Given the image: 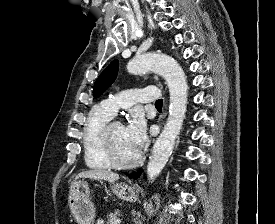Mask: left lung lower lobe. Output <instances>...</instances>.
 Wrapping results in <instances>:
<instances>
[{"instance_id":"left-lung-lower-lobe-1","label":"left lung lower lobe","mask_w":275,"mask_h":224,"mask_svg":"<svg viewBox=\"0 0 275 224\" xmlns=\"http://www.w3.org/2000/svg\"><path fill=\"white\" fill-rule=\"evenodd\" d=\"M142 173V170H139L137 173H135L132 178H138L140 176V174Z\"/></svg>"}]
</instances>
